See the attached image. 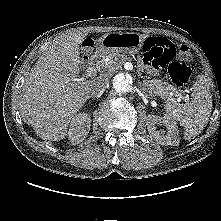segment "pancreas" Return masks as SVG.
<instances>
[{
    "mask_svg": "<svg viewBox=\"0 0 221 221\" xmlns=\"http://www.w3.org/2000/svg\"><path fill=\"white\" fill-rule=\"evenodd\" d=\"M128 57L123 54L113 53L109 54L105 60L101 63V68L107 71H115L122 65ZM143 85L148 87V89L154 91L157 95L162 98H170L172 94H178L177 88L174 86L163 82L162 80L152 79V80H144Z\"/></svg>",
    "mask_w": 221,
    "mask_h": 221,
    "instance_id": "pancreas-1",
    "label": "pancreas"
}]
</instances>
